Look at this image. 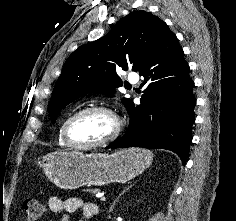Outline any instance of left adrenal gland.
Wrapping results in <instances>:
<instances>
[{"label": "left adrenal gland", "instance_id": "a2214340", "mask_svg": "<svg viewBox=\"0 0 236 221\" xmlns=\"http://www.w3.org/2000/svg\"><path fill=\"white\" fill-rule=\"evenodd\" d=\"M133 186V184H131L130 186H128L127 188H125L120 194L119 196L114 200V202L112 203V205L110 206L109 212H112L116 202L119 200V198L127 191L129 190L131 187Z\"/></svg>", "mask_w": 236, "mask_h": 221}]
</instances>
